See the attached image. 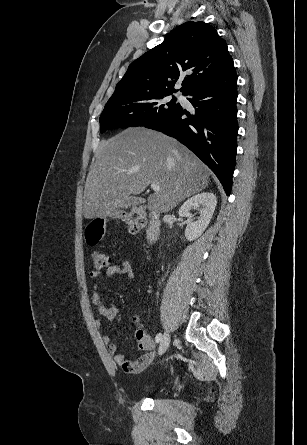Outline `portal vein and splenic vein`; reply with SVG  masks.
Returning <instances> with one entry per match:
<instances>
[{"label":"portal vein and splenic vein","instance_id":"18ae733b","mask_svg":"<svg viewBox=\"0 0 307 445\" xmlns=\"http://www.w3.org/2000/svg\"><path fill=\"white\" fill-rule=\"evenodd\" d=\"M151 188H153V190H160V186L157 182H151Z\"/></svg>","mask_w":307,"mask_h":445}]
</instances>
